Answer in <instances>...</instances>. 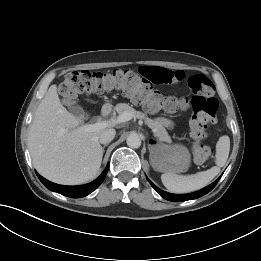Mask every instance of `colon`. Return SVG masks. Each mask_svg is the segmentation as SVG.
<instances>
[{
    "mask_svg": "<svg viewBox=\"0 0 261 261\" xmlns=\"http://www.w3.org/2000/svg\"><path fill=\"white\" fill-rule=\"evenodd\" d=\"M188 86L192 94L190 100L162 95L153 89L145 78L131 70H79L66 74L59 86V93L68 106L73 105L80 95L89 96L111 90L131 98L149 111L164 110L173 113L190 105V129L195 141L194 157L202 163L212 156V149L203 145L201 141L205 137L206 127L216 122L218 101L215 98L214 84L207 76L192 75L188 79Z\"/></svg>",
    "mask_w": 261,
    "mask_h": 261,
    "instance_id": "obj_1",
    "label": "colon"
}]
</instances>
